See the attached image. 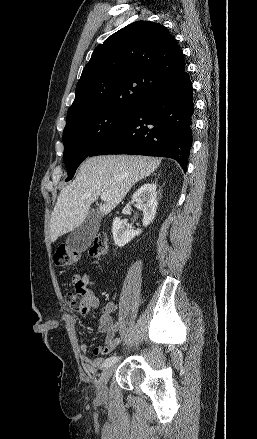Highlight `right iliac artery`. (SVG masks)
<instances>
[{"mask_svg": "<svg viewBox=\"0 0 257 439\" xmlns=\"http://www.w3.org/2000/svg\"><path fill=\"white\" fill-rule=\"evenodd\" d=\"M118 360V358L116 356H111L105 359L104 363L102 364V368L103 367H108L111 366L112 364H114L116 361Z\"/></svg>", "mask_w": 257, "mask_h": 439, "instance_id": "1", "label": "right iliac artery"}]
</instances>
